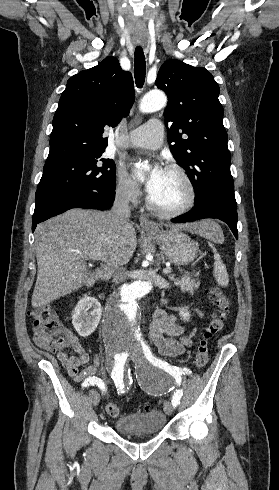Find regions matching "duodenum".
<instances>
[{
    "mask_svg": "<svg viewBox=\"0 0 279 490\" xmlns=\"http://www.w3.org/2000/svg\"><path fill=\"white\" fill-rule=\"evenodd\" d=\"M94 282H95V278H91V279H89V280L87 281V287H91V286H93Z\"/></svg>",
    "mask_w": 279,
    "mask_h": 490,
    "instance_id": "duodenum-1",
    "label": "duodenum"
}]
</instances>
